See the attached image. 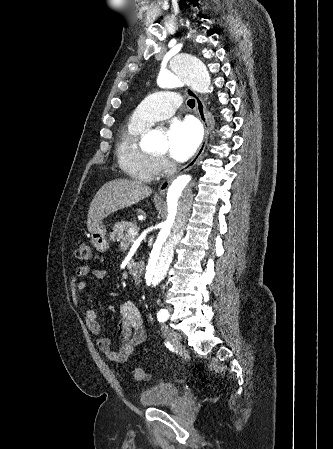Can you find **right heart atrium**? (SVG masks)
Wrapping results in <instances>:
<instances>
[{"instance_id": "1", "label": "right heart atrium", "mask_w": 333, "mask_h": 449, "mask_svg": "<svg viewBox=\"0 0 333 449\" xmlns=\"http://www.w3.org/2000/svg\"><path fill=\"white\" fill-rule=\"evenodd\" d=\"M156 166L159 173L166 171L169 167V162L164 157H156Z\"/></svg>"}]
</instances>
